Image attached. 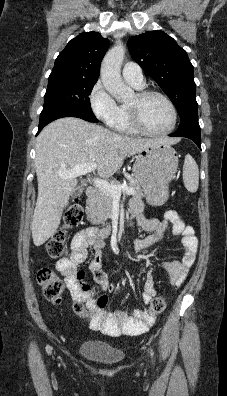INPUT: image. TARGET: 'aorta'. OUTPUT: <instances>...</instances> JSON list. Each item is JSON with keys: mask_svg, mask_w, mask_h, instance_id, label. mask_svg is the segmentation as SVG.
<instances>
[{"mask_svg": "<svg viewBox=\"0 0 227 396\" xmlns=\"http://www.w3.org/2000/svg\"><path fill=\"white\" fill-rule=\"evenodd\" d=\"M124 56L125 48L119 43L107 52L101 65L102 83L108 93L119 102L126 101L132 95V90L124 84L121 77Z\"/></svg>", "mask_w": 227, "mask_h": 396, "instance_id": "1", "label": "aorta"}]
</instances>
